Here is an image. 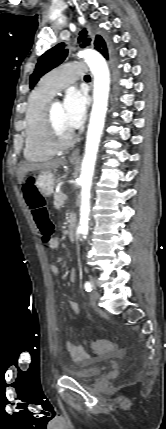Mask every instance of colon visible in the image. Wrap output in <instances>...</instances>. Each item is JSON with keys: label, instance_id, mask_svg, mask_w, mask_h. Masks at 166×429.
<instances>
[{"label": "colon", "instance_id": "obj_1", "mask_svg": "<svg viewBox=\"0 0 166 429\" xmlns=\"http://www.w3.org/2000/svg\"><path fill=\"white\" fill-rule=\"evenodd\" d=\"M23 194L43 240L49 242L54 234L55 226L49 217L45 200L31 178L24 184ZM85 344L98 353H109L116 349V344L110 340L85 341Z\"/></svg>", "mask_w": 166, "mask_h": 429}]
</instances>
